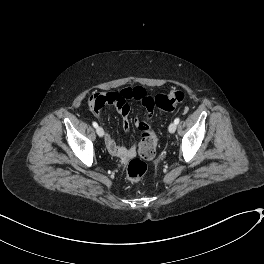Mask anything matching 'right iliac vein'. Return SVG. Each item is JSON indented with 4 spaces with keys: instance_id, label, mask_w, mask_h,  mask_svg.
I'll return each mask as SVG.
<instances>
[{
    "instance_id": "63e3f726",
    "label": "right iliac vein",
    "mask_w": 264,
    "mask_h": 264,
    "mask_svg": "<svg viewBox=\"0 0 264 264\" xmlns=\"http://www.w3.org/2000/svg\"><path fill=\"white\" fill-rule=\"evenodd\" d=\"M96 132H97L98 136H100V137L104 136V130L102 127H97Z\"/></svg>"
}]
</instances>
